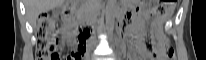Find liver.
Returning a JSON list of instances; mask_svg holds the SVG:
<instances>
[{
  "mask_svg": "<svg viewBox=\"0 0 206 60\" xmlns=\"http://www.w3.org/2000/svg\"><path fill=\"white\" fill-rule=\"evenodd\" d=\"M64 0H26L25 6L30 24L36 26L39 15L61 6Z\"/></svg>",
  "mask_w": 206,
  "mask_h": 60,
  "instance_id": "obj_1",
  "label": "liver"
}]
</instances>
